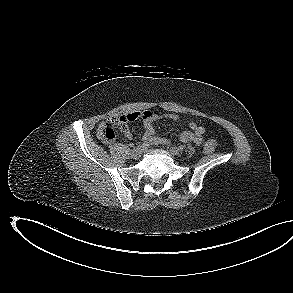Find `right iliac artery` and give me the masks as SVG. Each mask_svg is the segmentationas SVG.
<instances>
[{
    "label": "right iliac artery",
    "instance_id": "1",
    "mask_svg": "<svg viewBox=\"0 0 293 293\" xmlns=\"http://www.w3.org/2000/svg\"><path fill=\"white\" fill-rule=\"evenodd\" d=\"M148 146H149V143L147 141H145L141 145H139L138 147L147 148Z\"/></svg>",
    "mask_w": 293,
    "mask_h": 293
}]
</instances>
